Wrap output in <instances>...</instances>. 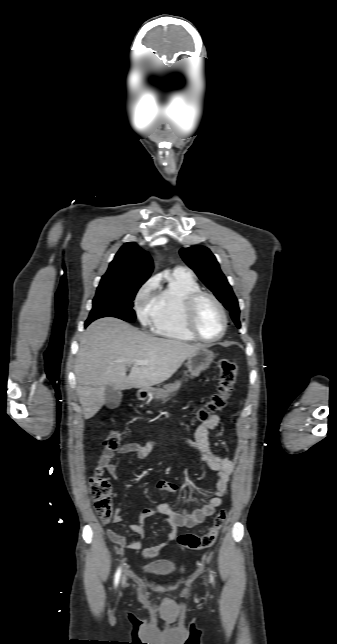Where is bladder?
Returning <instances> with one entry per match:
<instances>
[{
  "instance_id": "1",
  "label": "bladder",
  "mask_w": 337,
  "mask_h": 644,
  "mask_svg": "<svg viewBox=\"0 0 337 644\" xmlns=\"http://www.w3.org/2000/svg\"><path fill=\"white\" fill-rule=\"evenodd\" d=\"M144 573L156 577H167L175 573L176 565L168 559H155L145 563L142 567Z\"/></svg>"
}]
</instances>
